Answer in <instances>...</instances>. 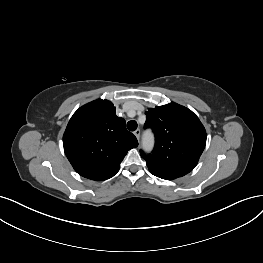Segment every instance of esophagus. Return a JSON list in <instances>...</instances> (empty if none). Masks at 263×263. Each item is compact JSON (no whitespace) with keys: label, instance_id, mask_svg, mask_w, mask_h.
<instances>
[{"label":"esophagus","instance_id":"esophagus-1","mask_svg":"<svg viewBox=\"0 0 263 263\" xmlns=\"http://www.w3.org/2000/svg\"><path fill=\"white\" fill-rule=\"evenodd\" d=\"M140 133H141L140 129H137L136 131H134V135L136 136L138 141L140 139Z\"/></svg>","mask_w":263,"mask_h":263}]
</instances>
